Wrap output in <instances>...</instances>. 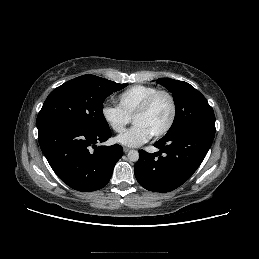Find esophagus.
<instances>
[{
    "label": "esophagus",
    "mask_w": 259,
    "mask_h": 259,
    "mask_svg": "<svg viewBox=\"0 0 259 259\" xmlns=\"http://www.w3.org/2000/svg\"><path fill=\"white\" fill-rule=\"evenodd\" d=\"M123 151H124L125 153H127V152H129V151H130V148H128V147H124V148H123Z\"/></svg>",
    "instance_id": "obj_1"
}]
</instances>
